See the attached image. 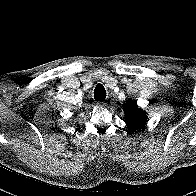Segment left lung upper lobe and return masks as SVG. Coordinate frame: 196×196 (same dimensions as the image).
Masks as SVG:
<instances>
[{"label":"left lung upper lobe","mask_w":196,"mask_h":196,"mask_svg":"<svg viewBox=\"0 0 196 196\" xmlns=\"http://www.w3.org/2000/svg\"><path fill=\"white\" fill-rule=\"evenodd\" d=\"M125 122L133 130H138L146 123V113L138 108L137 102L131 101L125 107Z\"/></svg>","instance_id":"5c2ea615"}]
</instances>
